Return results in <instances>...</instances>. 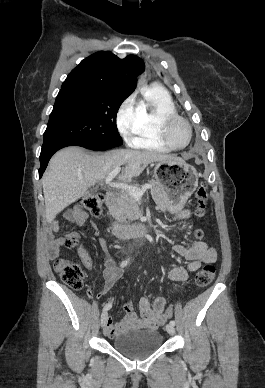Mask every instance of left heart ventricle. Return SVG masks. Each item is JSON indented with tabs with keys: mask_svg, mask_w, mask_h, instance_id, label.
<instances>
[{
	"mask_svg": "<svg viewBox=\"0 0 265 388\" xmlns=\"http://www.w3.org/2000/svg\"><path fill=\"white\" fill-rule=\"evenodd\" d=\"M169 137L174 145L182 146L187 142L188 132L181 122L174 121L169 126Z\"/></svg>",
	"mask_w": 265,
	"mask_h": 388,
	"instance_id": "1",
	"label": "left heart ventricle"
}]
</instances>
